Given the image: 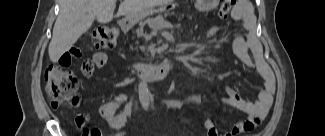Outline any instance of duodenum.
Listing matches in <instances>:
<instances>
[{
	"label": "duodenum",
	"mask_w": 325,
	"mask_h": 136,
	"mask_svg": "<svg viewBox=\"0 0 325 136\" xmlns=\"http://www.w3.org/2000/svg\"><path fill=\"white\" fill-rule=\"evenodd\" d=\"M120 27L122 30L128 29V21H121ZM175 69V64L171 59H166L157 65L146 63H136L133 65V70L137 74L150 78H162Z\"/></svg>",
	"instance_id": "duodenum-1"
}]
</instances>
